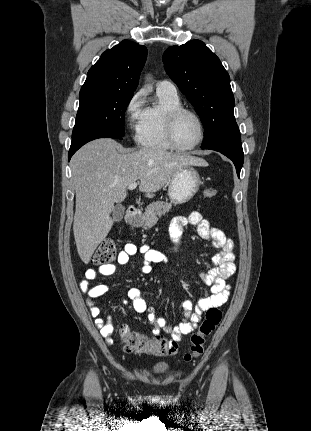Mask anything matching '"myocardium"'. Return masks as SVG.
Wrapping results in <instances>:
<instances>
[{
    "label": "myocardium",
    "instance_id": "myocardium-1",
    "mask_svg": "<svg viewBox=\"0 0 311 431\" xmlns=\"http://www.w3.org/2000/svg\"><path fill=\"white\" fill-rule=\"evenodd\" d=\"M185 113H189V114L194 115L198 119L200 126H201V134H200L197 142H195L193 145L188 146V147H183V146L179 145V143L176 139L177 121L181 117V115H183ZM165 132H166V138L173 148H175L177 150H181V151H189V150L195 149L196 147H198L202 143L204 136L207 133V126H206L204 118L202 117V115L198 111H196L192 108L180 106V107H177V108L170 110L167 113L166 120H165Z\"/></svg>",
    "mask_w": 311,
    "mask_h": 431
}]
</instances>
